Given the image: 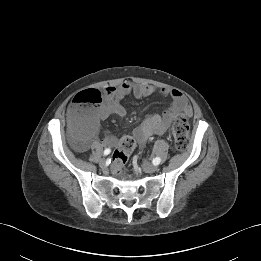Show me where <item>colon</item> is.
<instances>
[{"label": "colon", "mask_w": 261, "mask_h": 261, "mask_svg": "<svg viewBox=\"0 0 261 261\" xmlns=\"http://www.w3.org/2000/svg\"><path fill=\"white\" fill-rule=\"evenodd\" d=\"M104 96L97 91H89L77 96L69 107L70 123L74 130L81 133L87 130L93 121L95 108L93 105ZM189 125L185 117L179 116L172 123V135L176 149L184 150L189 145ZM136 145L132 137L125 136L121 139L118 149L113 155L115 165L120 168L127 162L129 154Z\"/></svg>", "instance_id": "5ec220e1"}]
</instances>
